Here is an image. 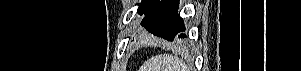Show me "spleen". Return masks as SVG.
Here are the masks:
<instances>
[{"mask_svg": "<svg viewBox=\"0 0 301 71\" xmlns=\"http://www.w3.org/2000/svg\"><path fill=\"white\" fill-rule=\"evenodd\" d=\"M140 71H187V66L179 57L163 54L149 59Z\"/></svg>", "mask_w": 301, "mask_h": 71, "instance_id": "1", "label": "spleen"}]
</instances>
